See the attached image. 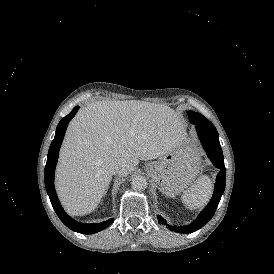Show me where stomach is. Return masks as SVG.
<instances>
[{"label": "stomach", "mask_w": 274, "mask_h": 274, "mask_svg": "<svg viewBox=\"0 0 274 274\" xmlns=\"http://www.w3.org/2000/svg\"><path fill=\"white\" fill-rule=\"evenodd\" d=\"M172 134L171 137H177ZM200 157L195 145L181 134V138L157 161L147 164L146 172L160 187L162 193L174 197L181 193L197 176Z\"/></svg>", "instance_id": "0dacf381"}]
</instances>
